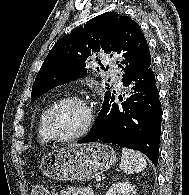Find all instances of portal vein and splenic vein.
I'll use <instances>...</instances> for the list:
<instances>
[{"mask_svg":"<svg viewBox=\"0 0 189 195\" xmlns=\"http://www.w3.org/2000/svg\"><path fill=\"white\" fill-rule=\"evenodd\" d=\"M96 181H97V182H100V181H101V178H97Z\"/></svg>","mask_w":189,"mask_h":195,"instance_id":"obj_1","label":"portal vein and splenic vein"}]
</instances>
